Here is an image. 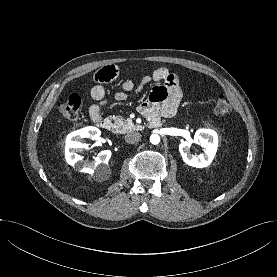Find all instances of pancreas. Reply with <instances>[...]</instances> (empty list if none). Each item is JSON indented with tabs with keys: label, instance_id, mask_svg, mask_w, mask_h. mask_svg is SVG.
Here are the masks:
<instances>
[{
	"label": "pancreas",
	"instance_id": "cf45deb5",
	"mask_svg": "<svg viewBox=\"0 0 277 277\" xmlns=\"http://www.w3.org/2000/svg\"><path fill=\"white\" fill-rule=\"evenodd\" d=\"M111 119L114 121L113 127L117 133L125 134L137 129V126L128 123L122 116H113Z\"/></svg>",
	"mask_w": 277,
	"mask_h": 277
}]
</instances>
